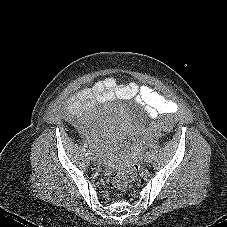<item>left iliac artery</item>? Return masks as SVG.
<instances>
[{
  "mask_svg": "<svg viewBox=\"0 0 227 227\" xmlns=\"http://www.w3.org/2000/svg\"><path fill=\"white\" fill-rule=\"evenodd\" d=\"M154 146V144H150V147H153Z\"/></svg>",
  "mask_w": 227,
  "mask_h": 227,
  "instance_id": "1",
  "label": "left iliac artery"
}]
</instances>
